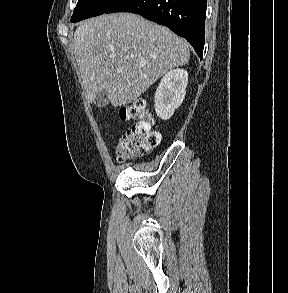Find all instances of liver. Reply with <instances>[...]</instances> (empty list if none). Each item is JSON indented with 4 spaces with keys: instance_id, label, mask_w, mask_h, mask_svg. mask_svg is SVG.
<instances>
[{
    "instance_id": "obj_1",
    "label": "liver",
    "mask_w": 288,
    "mask_h": 293,
    "mask_svg": "<svg viewBox=\"0 0 288 293\" xmlns=\"http://www.w3.org/2000/svg\"><path fill=\"white\" fill-rule=\"evenodd\" d=\"M73 51L89 102L106 90L114 107L140 97L190 58L188 44L167 27L133 13L103 14L80 23Z\"/></svg>"
}]
</instances>
